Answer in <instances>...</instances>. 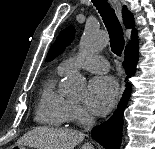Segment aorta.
<instances>
[{"label":"aorta","instance_id":"762f6f07","mask_svg":"<svg viewBox=\"0 0 155 149\" xmlns=\"http://www.w3.org/2000/svg\"><path fill=\"white\" fill-rule=\"evenodd\" d=\"M108 43L107 37L98 28L87 25L81 37L79 48L84 55L102 50ZM85 79L77 71L70 72L62 82L61 91L64 95L81 98L85 91Z\"/></svg>","mask_w":155,"mask_h":149}]
</instances>
